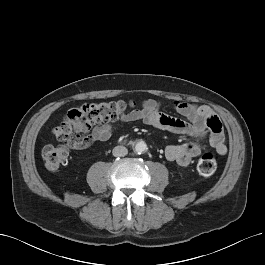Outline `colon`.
Here are the masks:
<instances>
[{
    "instance_id": "obj_1",
    "label": "colon",
    "mask_w": 265,
    "mask_h": 265,
    "mask_svg": "<svg viewBox=\"0 0 265 265\" xmlns=\"http://www.w3.org/2000/svg\"><path fill=\"white\" fill-rule=\"evenodd\" d=\"M134 107L133 103L97 102L87 103L70 109L63 117L61 123L54 127L52 134L66 146L47 145L43 148L42 157L48 170H58L67 163L69 150L67 146L72 143L84 144L91 127L99 122L112 123L122 120ZM209 127L213 133H221V123L216 116L209 118ZM201 175L211 176L217 169V160L213 153L201 155L197 162Z\"/></svg>"
}]
</instances>
